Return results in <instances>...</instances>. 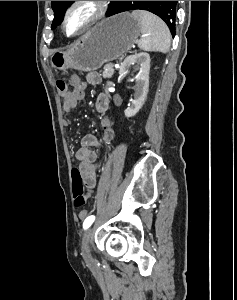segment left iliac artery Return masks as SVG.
<instances>
[{
	"instance_id": "left-iliac-artery-1",
	"label": "left iliac artery",
	"mask_w": 237,
	"mask_h": 300,
	"mask_svg": "<svg viewBox=\"0 0 237 300\" xmlns=\"http://www.w3.org/2000/svg\"><path fill=\"white\" fill-rule=\"evenodd\" d=\"M94 220H95V216H93V215L87 217L83 223L84 230H87L92 225Z\"/></svg>"
}]
</instances>
